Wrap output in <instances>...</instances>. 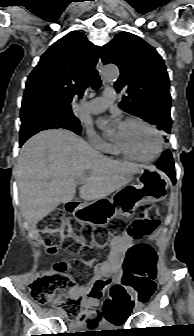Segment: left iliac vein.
Wrapping results in <instances>:
<instances>
[{"mask_svg":"<svg viewBox=\"0 0 194 336\" xmlns=\"http://www.w3.org/2000/svg\"><path fill=\"white\" fill-rule=\"evenodd\" d=\"M140 309H141V308H140L139 306L136 307V310H137V311L140 310Z\"/></svg>","mask_w":194,"mask_h":336,"instance_id":"1","label":"left iliac vein"}]
</instances>
